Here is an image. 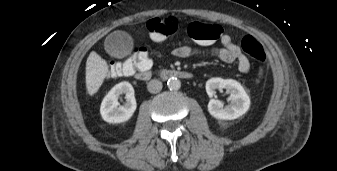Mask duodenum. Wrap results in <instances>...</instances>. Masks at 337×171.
Segmentation results:
<instances>
[{"mask_svg": "<svg viewBox=\"0 0 337 171\" xmlns=\"http://www.w3.org/2000/svg\"><path fill=\"white\" fill-rule=\"evenodd\" d=\"M135 76L138 80L142 81H147L153 76H156L162 81H167L172 78L191 79L193 77V74L190 72L170 68L159 69L155 71L150 68H143L138 70Z\"/></svg>", "mask_w": 337, "mask_h": 171, "instance_id": "duodenum-1", "label": "duodenum"}]
</instances>
